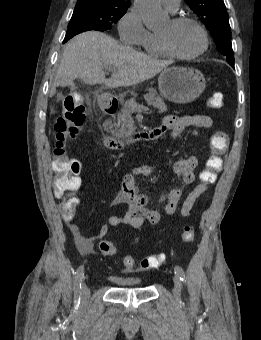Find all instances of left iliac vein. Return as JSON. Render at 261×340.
<instances>
[{
	"instance_id": "left-iliac-vein-1",
	"label": "left iliac vein",
	"mask_w": 261,
	"mask_h": 340,
	"mask_svg": "<svg viewBox=\"0 0 261 340\" xmlns=\"http://www.w3.org/2000/svg\"><path fill=\"white\" fill-rule=\"evenodd\" d=\"M173 283H174L173 295L176 299H179L181 296L182 284L178 276L175 275L173 277Z\"/></svg>"
}]
</instances>
